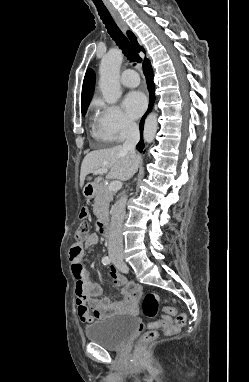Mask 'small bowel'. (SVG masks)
Returning <instances> with one entry per match:
<instances>
[{
    "label": "small bowel",
    "instance_id": "small-bowel-1",
    "mask_svg": "<svg viewBox=\"0 0 249 382\" xmlns=\"http://www.w3.org/2000/svg\"><path fill=\"white\" fill-rule=\"evenodd\" d=\"M98 242L99 236L92 233L84 242L73 244L69 252L72 272L76 280L75 294L78 315L83 323H91L95 319H104L116 314L134 313L140 296L138 286L115 268L111 269L110 276L114 284L122 288L124 299L113 301L102 296L100 285L90 279L87 270L82 265L85 250ZM173 310L175 311L174 308Z\"/></svg>",
    "mask_w": 249,
    "mask_h": 382
}]
</instances>
